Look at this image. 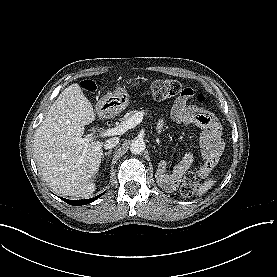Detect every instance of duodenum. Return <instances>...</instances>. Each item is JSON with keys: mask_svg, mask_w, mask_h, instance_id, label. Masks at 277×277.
<instances>
[{"mask_svg": "<svg viewBox=\"0 0 277 277\" xmlns=\"http://www.w3.org/2000/svg\"><path fill=\"white\" fill-rule=\"evenodd\" d=\"M103 111H104V109L102 108V106H101V108H100V113H103Z\"/></svg>", "mask_w": 277, "mask_h": 277, "instance_id": "1", "label": "duodenum"}]
</instances>
